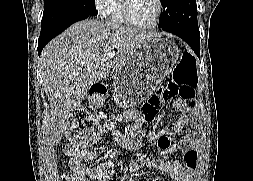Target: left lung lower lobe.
Returning <instances> with one entry per match:
<instances>
[{
	"mask_svg": "<svg viewBox=\"0 0 253 181\" xmlns=\"http://www.w3.org/2000/svg\"><path fill=\"white\" fill-rule=\"evenodd\" d=\"M164 31L170 32L182 38L200 57V32L199 29H184L177 27H165Z\"/></svg>",
	"mask_w": 253,
	"mask_h": 181,
	"instance_id": "0a47b994",
	"label": "left lung lower lobe"
}]
</instances>
